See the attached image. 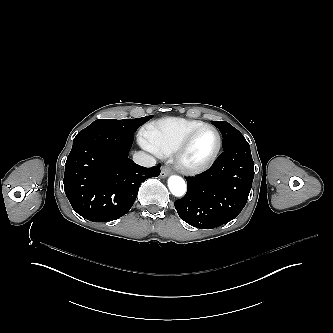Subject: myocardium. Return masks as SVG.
Segmentation results:
<instances>
[{
  "mask_svg": "<svg viewBox=\"0 0 333 333\" xmlns=\"http://www.w3.org/2000/svg\"><path fill=\"white\" fill-rule=\"evenodd\" d=\"M205 128H210L215 132L216 137H217V147H216L213 155L205 163L197 164V165L187 164L184 161L185 152H186L191 140L193 139V137L198 132H200L201 130H203ZM221 148H222V137H221L219 130L211 124H203L199 127L192 129L191 131H189L181 139V141L179 142L178 146L176 147V149L173 153L172 162H173L175 169L178 170L179 172H181L183 174H187V175H197V174L207 171L215 164V162L218 159V156L221 152Z\"/></svg>",
  "mask_w": 333,
  "mask_h": 333,
  "instance_id": "f54148a6",
  "label": "myocardium"
}]
</instances>
